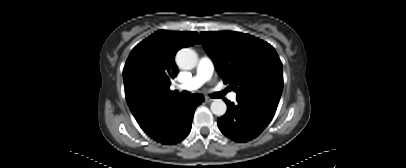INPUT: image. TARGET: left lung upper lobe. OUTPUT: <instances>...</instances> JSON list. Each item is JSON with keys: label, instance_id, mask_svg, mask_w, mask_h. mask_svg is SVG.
<instances>
[{"label": "left lung upper lobe", "instance_id": "1", "mask_svg": "<svg viewBox=\"0 0 406 168\" xmlns=\"http://www.w3.org/2000/svg\"><path fill=\"white\" fill-rule=\"evenodd\" d=\"M201 36L218 74L237 98L278 106L283 89L282 63L270 44L233 31L201 32Z\"/></svg>", "mask_w": 406, "mask_h": 168}]
</instances>
